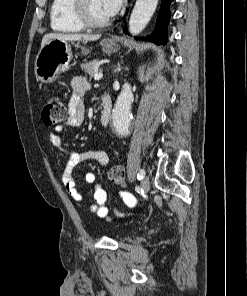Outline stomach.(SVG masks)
Returning <instances> with one entry per match:
<instances>
[{
    "instance_id": "1",
    "label": "stomach",
    "mask_w": 247,
    "mask_h": 296,
    "mask_svg": "<svg viewBox=\"0 0 247 296\" xmlns=\"http://www.w3.org/2000/svg\"><path fill=\"white\" fill-rule=\"evenodd\" d=\"M106 53L116 51L117 45L112 39H103L100 43ZM85 54L88 50L83 48ZM72 58L71 46L67 41L51 39L39 50L35 64L34 73L36 79L41 83H53L61 73L69 68Z\"/></svg>"
}]
</instances>
